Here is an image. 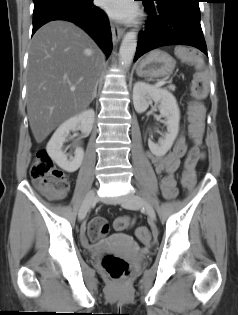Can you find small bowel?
<instances>
[{
  "label": "small bowel",
  "mask_w": 238,
  "mask_h": 315,
  "mask_svg": "<svg viewBox=\"0 0 238 315\" xmlns=\"http://www.w3.org/2000/svg\"><path fill=\"white\" fill-rule=\"evenodd\" d=\"M187 152L188 155L185 163L182 183H184V178H188L191 180L193 186L195 182V166L203 156V152L199 147H192L188 151L186 140L183 136H181L169 153L163 156L149 153V158L157 174L160 176V187L162 193L167 199H172L177 194L175 173L180 166L181 158L185 156ZM141 240L144 245H147L150 242L149 238Z\"/></svg>",
  "instance_id": "small-bowel-1"
}]
</instances>
